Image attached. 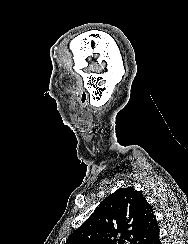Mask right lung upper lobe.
I'll return each instance as SVG.
<instances>
[{
  "instance_id": "1",
  "label": "right lung upper lobe",
  "mask_w": 188,
  "mask_h": 244,
  "mask_svg": "<svg viewBox=\"0 0 188 244\" xmlns=\"http://www.w3.org/2000/svg\"><path fill=\"white\" fill-rule=\"evenodd\" d=\"M158 225L153 209L133 187L110 194L66 244H144Z\"/></svg>"
}]
</instances>
